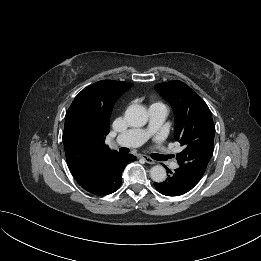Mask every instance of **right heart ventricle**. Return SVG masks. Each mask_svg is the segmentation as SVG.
<instances>
[{
  "label": "right heart ventricle",
  "instance_id": "right-heart-ventricle-1",
  "mask_svg": "<svg viewBox=\"0 0 261 261\" xmlns=\"http://www.w3.org/2000/svg\"><path fill=\"white\" fill-rule=\"evenodd\" d=\"M153 106H164V105L162 103L158 102V103H154L151 105V107H153Z\"/></svg>",
  "mask_w": 261,
  "mask_h": 261
}]
</instances>
